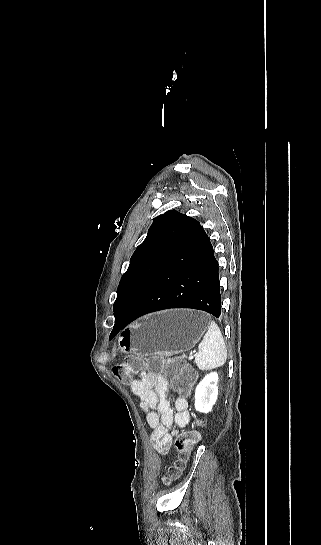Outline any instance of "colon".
Segmentation results:
<instances>
[{"label": "colon", "mask_w": 321, "mask_h": 545, "mask_svg": "<svg viewBox=\"0 0 321 545\" xmlns=\"http://www.w3.org/2000/svg\"><path fill=\"white\" fill-rule=\"evenodd\" d=\"M143 368H146L150 374L159 375L160 373H165L172 376L174 388L182 395L188 394L195 378L193 371L182 359H164L158 355L147 358H128L125 362L114 366L113 373L120 382L129 384L133 381L134 376ZM198 440L199 434L193 431L175 436L174 449L178 454L179 460L167 468L164 481L177 478L180 475L183 460L188 456Z\"/></svg>", "instance_id": "1"}]
</instances>
